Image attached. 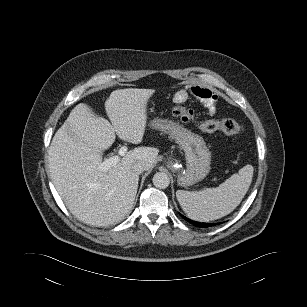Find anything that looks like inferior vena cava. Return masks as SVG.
<instances>
[{"label": "inferior vena cava", "mask_w": 307, "mask_h": 307, "mask_svg": "<svg viewBox=\"0 0 307 307\" xmlns=\"http://www.w3.org/2000/svg\"><path fill=\"white\" fill-rule=\"evenodd\" d=\"M132 169L135 173L137 174H141L143 171H145V165L141 162L139 163H135L133 166H132Z\"/></svg>", "instance_id": "1"}]
</instances>
